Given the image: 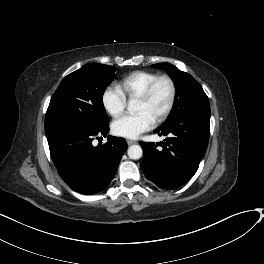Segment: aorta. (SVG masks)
Masks as SVG:
<instances>
[{
    "label": "aorta",
    "mask_w": 264,
    "mask_h": 264,
    "mask_svg": "<svg viewBox=\"0 0 264 264\" xmlns=\"http://www.w3.org/2000/svg\"><path fill=\"white\" fill-rule=\"evenodd\" d=\"M136 110L135 102L134 101H129L128 104V111L132 114ZM128 156L130 159H140L142 156V148L139 145H132L128 148Z\"/></svg>",
    "instance_id": "1"
}]
</instances>
